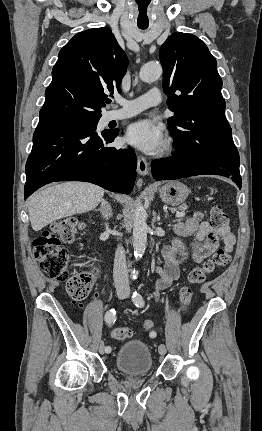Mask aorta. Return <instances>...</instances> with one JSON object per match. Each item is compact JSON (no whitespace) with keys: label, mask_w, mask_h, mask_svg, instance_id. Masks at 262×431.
I'll use <instances>...</instances> for the list:
<instances>
[{"label":"aorta","mask_w":262,"mask_h":431,"mask_svg":"<svg viewBox=\"0 0 262 431\" xmlns=\"http://www.w3.org/2000/svg\"><path fill=\"white\" fill-rule=\"evenodd\" d=\"M162 74V67L159 63H147L140 72L139 77L143 82H153ZM147 213L141 203H138L135 208L133 221V248L136 260L140 259L145 253L147 246V231L146 223ZM137 272H133V278H136Z\"/></svg>","instance_id":"aorta-1"}]
</instances>
